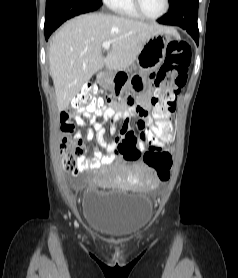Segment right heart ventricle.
<instances>
[{
    "instance_id": "right-heart-ventricle-1",
    "label": "right heart ventricle",
    "mask_w": 238,
    "mask_h": 278,
    "mask_svg": "<svg viewBox=\"0 0 238 278\" xmlns=\"http://www.w3.org/2000/svg\"><path fill=\"white\" fill-rule=\"evenodd\" d=\"M109 7L113 12L121 16L136 19L141 18L134 7L132 0H114Z\"/></svg>"
}]
</instances>
